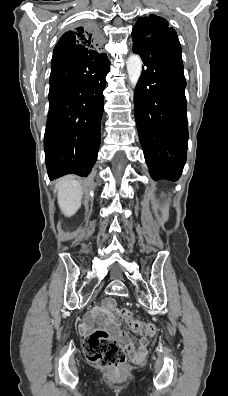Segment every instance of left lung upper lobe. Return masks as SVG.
<instances>
[{"label":"left lung upper lobe","instance_id":"1","mask_svg":"<svg viewBox=\"0 0 228 396\" xmlns=\"http://www.w3.org/2000/svg\"><path fill=\"white\" fill-rule=\"evenodd\" d=\"M134 40L149 39L159 45L181 52V45L175 30L167 20L154 14L139 19L132 30Z\"/></svg>","mask_w":228,"mask_h":396}]
</instances>
